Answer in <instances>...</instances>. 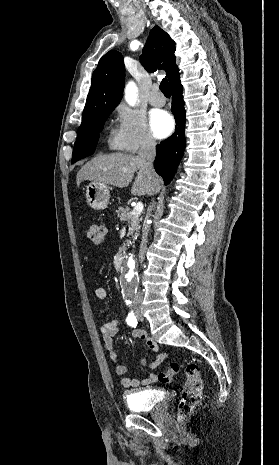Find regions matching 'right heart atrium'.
I'll return each instance as SVG.
<instances>
[{
	"mask_svg": "<svg viewBox=\"0 0 279 465\" xmlns=\"http://www.w3.org/2000/svg\"><path fill=\"white\" fill-rule=\"evenodd\" d=\"M111 140L117 148L130 153L156 146V140L149 131L144 117L124 104L118 105L115 109V126Z\"/></svg>",
	"mask_w": 279,
	"mask_h": 465,
	"instance_id": "right-heart-atrium-1",
	"label": "right heart atrium"
}]
</instances>
